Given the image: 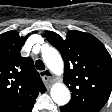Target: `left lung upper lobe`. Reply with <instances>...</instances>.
Here are the masks:
<instances>
[{"mask_svg": "<svg viewBox=\"0 0 112 112\" xmlns=\"http://www.w3.org/2000/svg\"><path fill=\"white\" fill-rule=\"evenodd\" d=\"M45 37L64 60L63 81L72 94L63 107L77 112H99L112 91V59L104 45L81 31H68L66 39L48 31Z\"/></svg>", "mask_w": 112, "mask_h": 112, "instance_id": "5c2ea615", "label": "left lung upper lobe"}]
</instances>
